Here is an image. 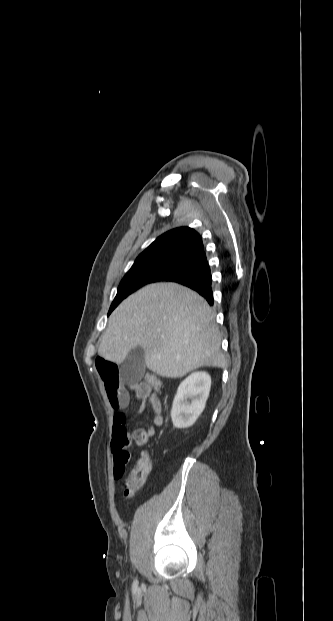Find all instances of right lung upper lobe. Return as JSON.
Returning <instances> with one entry per match:
<instances>
[{
  "label": "right lung upper lobe",
  "instance_id": "obj_1",
  "mask_svg": "<svg viewBox=\"0 0 333 621\" xmlns=\"http://www.w3.org/2000/svg\"><path fill=\"white\" fill-rule=\"evenodd\" d=\"M203 248L202 238L198 232L189 227H179L159 236L135 262L162 258L187 259Z\"/></svg>",
  "mask_w": 333,
  "mask_h": 621
}]
</instances>
